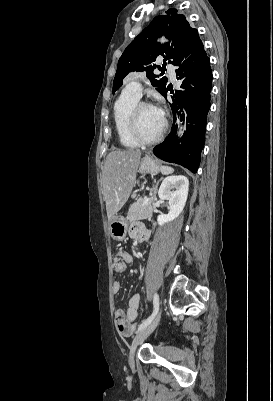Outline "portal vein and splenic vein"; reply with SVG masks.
I'll return each instance as SVG.
<instances>
[{
  "label": "portal vein and splenic vein",
  "mask_w": 273,
  "mask_h": 401,
  "mask_svg": "<svg viewBox=\"0 0 273 401\" xmlns=\"http://www.w3.org/2000/svg\"><path fill=\"white\" fill-rule=\"evenodd\" d=\"M149 202H150V197H149V196H146V197H145V201L143 202V205H144V206H147Z\"/></svg>",
  "instance_id": "portal-vein-and-splenic-vein-1"
}]
</instances>
